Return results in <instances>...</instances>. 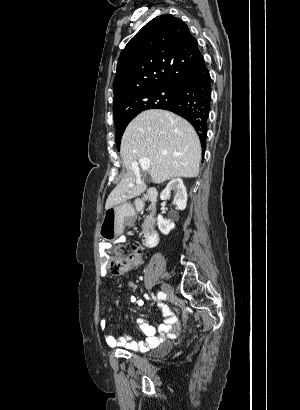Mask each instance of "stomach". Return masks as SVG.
<instances>
[{
	"mask_svg": "<svg viewBox=\"0 0 300 410\" xmlns=\"http://www.w3.org/2000/svg\"><path fill=\"white\" fill-rule=\"evenodd\" d=\"M134 216L130 203H122L106 209L100 226V236L103 240H113L122 234L126 222Z\"/></svg>",
	"mask_w": 300,
	"mask_h": 410,
	"instance_id": "obj_1",
	"label": "stomach"
}]
</instances>
